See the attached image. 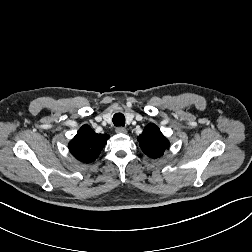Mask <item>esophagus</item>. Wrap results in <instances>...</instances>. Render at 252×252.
<instances>
[{
  "label": "esophagus",
  "mask_w": 252,
  "mask_h": 252,
  "mask_svg": "<svg viewBox=\"0 0 252 252\" xmlns=\"http://www.w3.org/2000/svg\"><path fill=\"white\" fill-rule=\"evenodd\" d=\"M119 134H126L127 130L124 127H117L115 130Z\"/></svg>",
  "instance_id": "esophagus-1"
}]
</instances>
